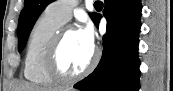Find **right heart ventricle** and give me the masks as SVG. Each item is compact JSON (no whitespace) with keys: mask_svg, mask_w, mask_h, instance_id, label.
I'll return each instance as SVG.
<instances>
[{"mask_svg":"<svg viewBox=\"0 0 173 91\" xmlns=\"http://www.w3.org/2000/svg\"><path fill=\"white\" fill-rule=\"evenodd\" d=\"M64 25L48 9L36 20L31 30L24 58L25 78L38 85H51L54 81L45 73L43 59L53 36Z\"/></svg>","mask_w":173,"mask_h":91,"instance_id":"obj_1","label":"right heart ventricle"}]
</instances>
